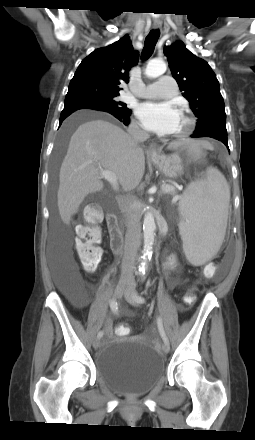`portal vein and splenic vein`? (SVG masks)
I'll use <instances>...</instances> for the list:
<instances>
[{"instance_id":"obj_1","label":"portal vein and splenic vein","mask_w":255,"mask_h":440,"mask_svg":"<svg viewBox=\"0 0 255 440\" xmlns=\"http://www.w3.org/2000/svg\"><path fill=\"white\" fill-rule=\"evenodd\" d=\"M100 175L102 178L106 179L111 185L112 187L117 190L118 189V183H117V178L116 175L108 170H104V169H100ZM174 186L172 185H166L164 187V191L165 192H170V191H174ZM180 197H175L174 200H178Z\"/></svg>"}]
</instances>
